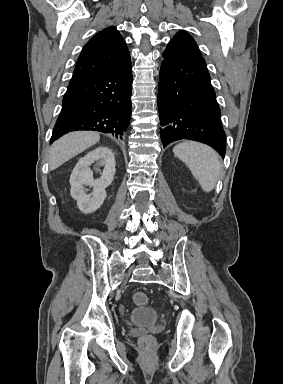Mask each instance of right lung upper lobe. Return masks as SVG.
I'll return each instance as SVG.
<instances>
[{
  "instance_id": "obj_1",
  "label": "right lung upper lobe",
  "mask_w": 283,
  "mask_h": 384,
  "mask_svg": "<svg viewBox=\"0 0 283 384\" xmlns=\"http://www.w3.org/2000/svg\"><path fill=\"white\" fill-rule=\"evenodd\" d=\"M131 64L126 42L114 26L103 29L84 46L70 83L106 72L119 71Z\"/></svg>"
}]
</instances>
